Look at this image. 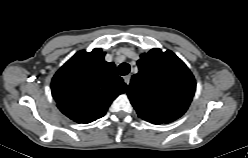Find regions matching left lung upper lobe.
<instances>
[{"mask_svg": "<svg viewBox=\"0 0 248 158\" xmlns=\"http://www.w3.org/2000/svg\"><path fill=\"white\" fill-rule=\"evenodd\" d=\"M127 87L138 116L153 124L170 123L188 109L196 83L188 67L170 50L152 49L137 62Z\"/></svg>", "mask_w": 248, "mask_h": 158, "instance_id": "5c2ea615", "label": "left lung upper lobe"}]
</instances>
